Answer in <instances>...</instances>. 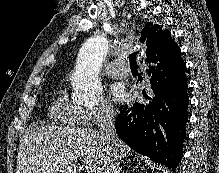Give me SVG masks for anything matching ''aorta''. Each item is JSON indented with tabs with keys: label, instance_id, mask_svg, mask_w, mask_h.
Segmentation results:
<instances>
[{
	"label": "aorta",
	"instance_id": "aorta-1",
	"mask_svg": "<svg viewBox=\"0 0 219 173\" xmlns=\"http://www.w3.org/2000/svg\"><path fill=\"white\" fill-rule=\"evenodd\" d=\"M108 53V42L103 36H92L82 45L72 86L79 100L97 101L102 95L100 67Z\"/></svg>",
	"mask_w": 219,
	"mask_h": 173
}]
</instances>
